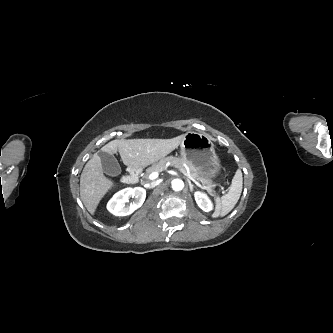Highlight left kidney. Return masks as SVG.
I'll list each match as a JSON object with an SVG mask.
<instances>
[{"label": "left kidney", "mask_w": 333, "mask_h": 333, "mask_svg": "<svg viewBox=\"0 0 333 333\" xmlns=\"http://www.w3.org/2000/svg\"><path fill=\"white\" fill-rule=\"evenodd\" d=\"M194 197H195L196 203L203 211L209 212L212 210V208H213L212 202L206 194L201 193V192H195Z\"/></svg>", "instance_id": "left-kidney-1"}]
</instances>
